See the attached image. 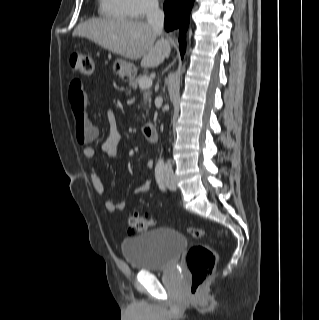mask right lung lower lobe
<instances>
[{"mask_svg": "<svg viewBox=\"0 0 319 320\" xmlns=\"http://www.w3.org/2000/svg\"><path fill=\"white\" fill-rule=\"evenodd\" d=\"M194 0H166L164 3L165 12V29L171 31L173 29H180V50L183 57L186 42L185 31L189 25V16Z\"/></svg>", "mask_w": 319, "mask_h": 320, "instance_id": "98d812e1", "label": "right lung lower lobe"}]
</instances>
